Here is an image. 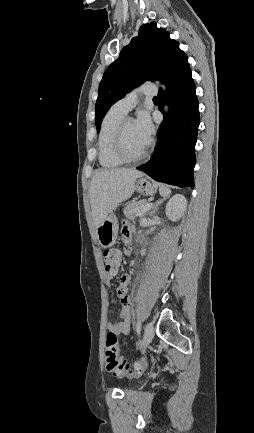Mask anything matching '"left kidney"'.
<instances>
[{
    "mask_svg": "<svg viewBox=\"0 0 254 433\" xmlns=\"http://www.w3.org/2000/svg\"><path fill=\"white\" fill-rule=\"evenodd\" d=\"M187 200L181 194H176L168 201L166 205V215L172 221L180 219L186 211Z\"/></svg>",
    "mask_w": 254,
    "mask_h": 433,
    "instance_id": "left-kidney-1",
    "label": "left kidney"
}]
</instances>
